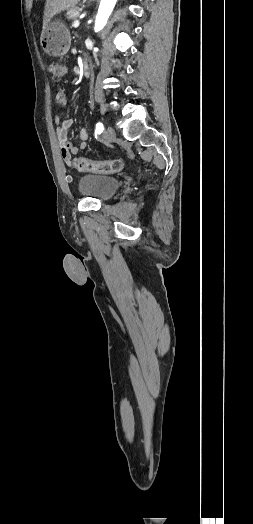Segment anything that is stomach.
Here are the masks:
<instances>
[{
  "label": "stomach",
  "instance_id": "0dacf381",
  "mask_svg": "<svg viewBox=\"0 0 253 524\" xmlns=\"http://www.w3.org/2000/svg\"><path fill=\"white\" fill-rule=\"evenodd\" d=\"M40 43L50 56L62 57L70 48V32L62 22L52 21L42 31Z\"/></svg>",
  "mask_w": 253,
  "mask_h": 524
}]
</instances>
